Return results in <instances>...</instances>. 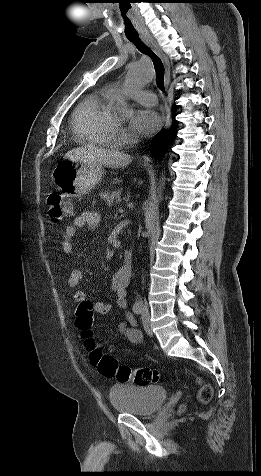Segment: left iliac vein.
I'll list each match as a JSON object with an SVG mask.
<instances>
[{
	"label": "left iliac vein",
	"mask_w": 261,
	"mask_h": 476,
	"mask_svg": "<svg viewBox=\"0 0 261 476\" xmlns=\"http://www.w3.org/2000/svg\"><path fill=\"white\" fill-rule=\"evenodd\" d=\"M142 323L146 333L149 335H152L150 320H149V313L146 310L142 314Z\"/></svg>",
	"instance_id": "obj_1"
}]
</instances>
